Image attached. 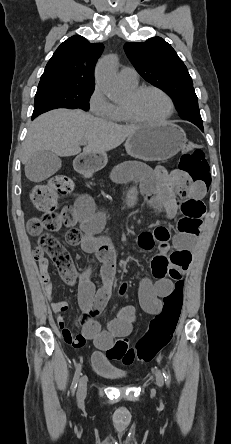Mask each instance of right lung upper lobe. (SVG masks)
I'll use <instances>...</instances> for the list:
<instances>
[{"instance_id":"obj_1","label":"right lung upper lobe","mask_w":231,"mask_h":444,"mask_svg":"<svg viewBox=\"0 0 231 444\" xmlns=\"http://www.w3.org/2000/svg\"><path fill=\"white\" fill-rule=\"evenodd\" d=\"M103 48V44L90 43L79 35L68 38L47 63L38 88L94 87V66Z\"/></svg>"}]
</instances>
